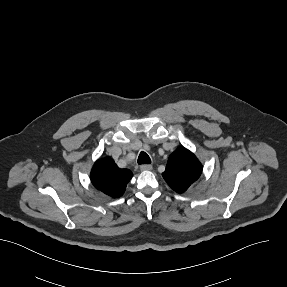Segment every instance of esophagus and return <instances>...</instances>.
Masks as SVG:
<instances>
[{"instance_id":"esophagus-1","label":"esophagus","mask_w":287,"mask_h":287,"mask_svg":"<svg viewBox=\"0 0 287 287\" xmlns=\"http://www.w3.org/2000/svg\"><path fill=\"white\" fill-rule=\"evenodd\" d=\"M140 169H141L142 171L152 170V165L143 164V165L140 166Z\"/></svg>"}]
</instances>
